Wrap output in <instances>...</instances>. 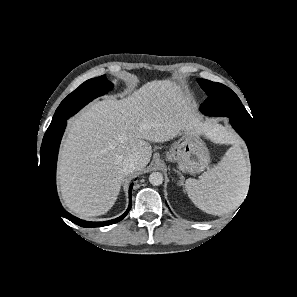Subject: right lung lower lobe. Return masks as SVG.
Wrapping results in <instances>:
<instances>
[{
	"instance_id": "1",
	"label": "right lung lower lobe",
	"mask_w": 297,
	"mask_h": 297,
	"mask_svg": "<svg viewBox=\"0 0 297 297\" xmlns=\"http://www.w3.org/2000/svg\"><path fill=\"white\" fill-rule=\"evenodd\" d=\"M66 121L56 129L46 131L40 149V163L38 171H40L39 173L42 178V185L46 195H48L47 197L50 200L51 205L62 217L82 227L107 226L122 220L131 208V191L133 184H131L129 188V207L127 211L120 217L113 220L104 222L84 221L71 215L62 207L56 191V163L60 141L66 127Z\"/></svg>"
}]
</instances>
